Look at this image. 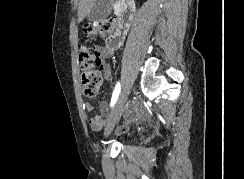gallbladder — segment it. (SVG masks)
<instances>
[{"mask_svg":"<svg viewBox=\"0 0 244 179\" xmlns=\"http://www.w3.org/2000/svg\"><path fill=\"white\" fill-rule=\"evenodd\" d=\"M112 10V0H96L93 8H91L88 14V20L90 22H99L109 16Z\"/></svg>","mask_w":244,"mask_h":179,"instance_id":"bac80fb5","label":"gallbladder"}]
</instances>
